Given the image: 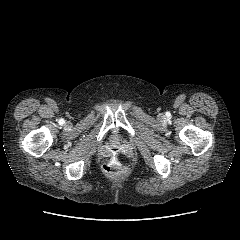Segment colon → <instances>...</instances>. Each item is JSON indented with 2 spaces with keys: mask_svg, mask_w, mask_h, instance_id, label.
I'll return each mask as SVG.
<instances>
[{
  "mask_svg": "<svg viewBox=\"0 0 240 240\" xmlns=\"http://www.w3.org/2000/svg\"><path fill=\"white\" fill-rule=\"evenodd\" d=\"M125 161L114 151L110 158L104 163L103 171L108 175H117L125 171Z\"/></svg>",
  "mask_w": 240,
  "mask_h": 240,
  "instance_id": "colon-1",
  "label": "colon"
}]
</instances>
